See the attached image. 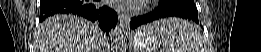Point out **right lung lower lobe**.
<instances>
[{
    "label": "right lung lower lobe",
    "instance_id": "98d812e1",
    "mask_svg": "<svg viewBox=\"0 0 261 52\" xmlns=\"http://www.w3.org/2000/svg\"><path fill=\"white\" fill-rule=\"evenodd\" d=\"M97 1L41 0L39 21L42 22L46 17L54 14H74L96 22L108 34L116 26L118 15L112 9L98 5Z\"/></svg>",
    "mask_w": 261,
    "mask_h": 52
}]
</instances>
